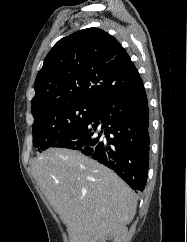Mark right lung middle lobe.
I'll return each mask as SVG.
<instances>
[{"label":"right lung middle lobe","mask_w":187,"mask_h":242,"mask_svg":"<svg viewBox=\"0 0 187 242\" xmlns=\"http://www.w3.org/2000/svg\"><path fill=\"white\" fill-rule=\"evenodd\" d=\"M98 106L72 102L37 115L32 125L34 147L40 152L48 149L90 118Z\"/></svg>","instance_id":"dd1d6c3e"}]
</instances>
